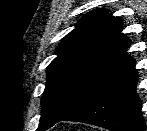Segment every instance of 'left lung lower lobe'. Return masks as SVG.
I'll return each instance as SVG.
<instances>
[{
	"label": "left lung lower lobe",
	"mask_w": 147,
	"mask_h": 131,
	"mask_svg": "<svg viewBox=\"0 0 147 131\" xmlns=\"http://www.w3.org/2000/svg\"><path fill=\"white\" fill-rule=\"evenodd\" d=\"M135 61L129 58L106 78L85 103L63 121L83 122L111 131H145Z\"/></svg>",
	"instance_id": "1"
}]
</instances>
